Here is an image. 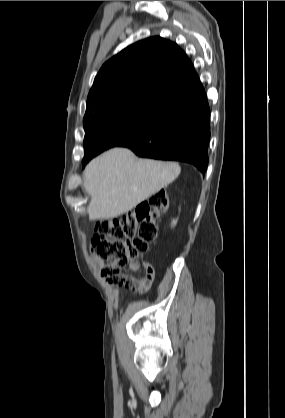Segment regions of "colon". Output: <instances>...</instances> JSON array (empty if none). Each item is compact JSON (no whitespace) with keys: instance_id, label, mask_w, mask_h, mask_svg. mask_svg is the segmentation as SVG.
<instances>
[{"instance_id":"colon-1","label":"colon","mask_w":285,"mask_h":418,"mask_svg":"<svg viewBox=\"0 0 285 418\" xmlns=\"http://www.w3.org/2000/svg\"><path fill=\"white\" fill-rule=\"evenodd\" d=\"M170 205L169 192L160 190L120 219L102 220L90 238V250L100 262V276L110 285L127 284L120 275L126 267L138 265L158 238L156 219Z\"/></svg>"}]
</instances>
